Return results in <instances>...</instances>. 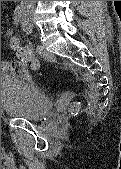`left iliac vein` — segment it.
Wrapping results in <instances>:
<instances>
[{"label": "left iliac vein", "instance_id": "obj_1", "mask_svg": "<svg viewBox=\"0 0 121 169\" xmlns=\"http://www.w3.org/2000/svg\"><path fill=\"white\" fill-rule=\"evenodd\" d=\"M24 28H25L26 32H28V33H30L32 31V27H31V25H29L27 23V21H25V23H24Z\"/></svg>", "mask_w": 121, "mask_h": 169}]
</instances>
